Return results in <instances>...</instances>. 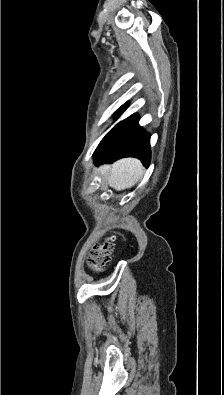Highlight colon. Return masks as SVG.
<instances>
[{"label":"colon","instance_id":"obj_1","mask_svg":"<svg viewBox=\"0 0 224 395\" xmlns=\"http://www.w3.org/2000/svg\"><path fill=\"white\" fill-rule=\"evenodd\" d=\"M112 251H113V239H107L102 243L96 245L89 258H88V265L93 270H101L104 266H106L111 258H112Z\"/></svg>","mask_w":224,"mask_h":395}]
</instances>
